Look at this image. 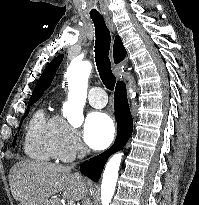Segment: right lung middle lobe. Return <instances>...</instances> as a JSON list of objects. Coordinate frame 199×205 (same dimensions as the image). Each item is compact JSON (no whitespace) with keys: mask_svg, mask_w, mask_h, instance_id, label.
<instances>
[{"mask_svg":"<svg viewBox=\"0 0 199 205\" xmlns=\"http://www.w3.org/2000/svg\"><path fill=\"white\" fill-rule=\"evenodd\" d=\"M37 100H32L28 103V106H31L32 104H34ZM30 108L28 107L22 120L27 116L28 112H29ZM22 120H21V123H22ZM21 123H20V126H21ZM15 140H16V137L14 138V141H13V146L15 145Z\"/></svg>","mask_w":199,"mask_h":205,"instance_id":"right-lung-middle-lobe-1","label":"right lung middle lobe"}]
</instances>
